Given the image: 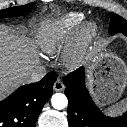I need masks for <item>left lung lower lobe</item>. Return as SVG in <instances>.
Instances as JSON below:
<instances>
[{"mask_svg": "<svg viewBox=\"0 0 127 127\" xmlns=\"http://www.w3.org/2000/svg\"><path fill=\"white\" fill-rule=\"evenodd\" d=\"M127 36V32L123 33ZM68 98L70 127H127V112L120 117L104 115L93 102L85 86V69L80 67L63 79Z\"/></svg>", "mask_w": 127, "mask_h": 127, "instance_id": "1", "label": "left lung lower lobe"}]
</instances>
